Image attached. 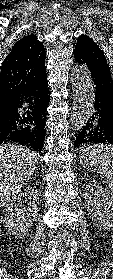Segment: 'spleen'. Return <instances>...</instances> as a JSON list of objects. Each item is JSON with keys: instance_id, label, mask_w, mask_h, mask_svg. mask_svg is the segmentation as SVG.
Segmentation results:
<instances>
[{"instance_id": "1", "label": "spleen", "mask_w": 113, "mask_h": 279, "mask_svg": "<svg viewBox=\"0 0 113 279\" xmlns=\"http://www.w3.org/2000/svg\"><path fill=\"white\" fill-rule=\"evenodd\" d=\"M80 162L84 168L107 178L109 189L113 192V146L95 144L80 152Z\"/></svg>"}]
</instances>
